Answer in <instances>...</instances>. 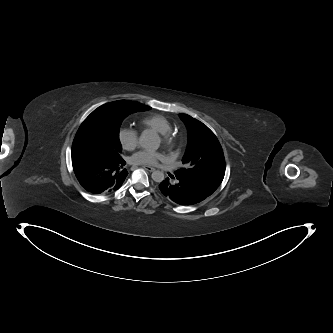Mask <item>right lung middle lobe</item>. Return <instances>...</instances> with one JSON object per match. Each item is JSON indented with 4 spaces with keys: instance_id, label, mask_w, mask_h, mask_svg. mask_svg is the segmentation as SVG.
<instances>
[{
    "instance_id": "right-lung-middle-lobe-1",
    "label": "right lung middle lobe",
    "mask_w": 333,
    "mask_h": 333,
    "mask_svg": "<svg viewBox=\"0 0 333 333\" xmlns=\"http://www.w3.org/2000/svg\"><path fill=\"white\" fill-rule=\"evenodd\" d=\"M139 111L133 101L119 100L95 109L81 124L72 145V151L96 153L106 160L121 158L119 130L129 114Z\"/></svg>"
}]
</instances>
